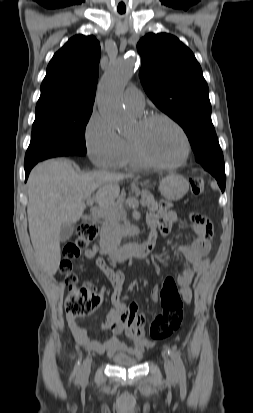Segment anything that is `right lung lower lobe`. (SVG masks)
<instances>
[{"label": "right lung lower lobe", "mask_w": 253, "mask_h": 413, "mask_svg": "<svg viewBox=\"0 0 253 413\" xmlns=\"http://www.w3.org/2000/svg\"><path fill=\"white\" fill-rule=\"evenodd\" d=\"M38 162H32V163H28V164H25V175H26V180H27V178H28V175H29V173H30V171H31V169L33 168V166L34 165H36Z\"/></svg>", "instance_id": "right-lung-lower-lobe-1"}]
</instances>
